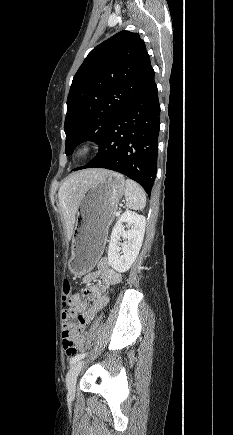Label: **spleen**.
Returning a JSON list of instances; mask_svg holds the SVG:
<instances>
[{"mask_svg":"<svg viewBox=\"0 0 233 435\" xmlns=\"http://www.w3.org/2000/svg\"><path fill=\"white\" fill-rule=\"evenodd\" d=\"M125 198L128 208L133 210H141L146 204V195L143 188L131 179L126 180Z\"/></svg>","mask_w":233,"mask_h":435,"instance_id":"spleen-1","label":"spleen"}]
</instances>
